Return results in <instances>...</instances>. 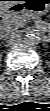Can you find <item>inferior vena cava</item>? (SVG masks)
<instances>
[{
  "label": "inferior vena cava",
  "mask_w": 50,
  "mask_h": 111,
  "mask_svg": "<svg viewBox=\"0 0 50 111\" xmlns=\"http://www.w3.org/2000/svg\"><path fill=\"white\" fill-rule=\"evenodd\" d=\"M19 33L20 32L18 30H14V29L7 30V31L2 33V38L8 42L13 41L19 37Z\"/></svg>",
  "instance_id": "obj_1"
}]
</instances>
